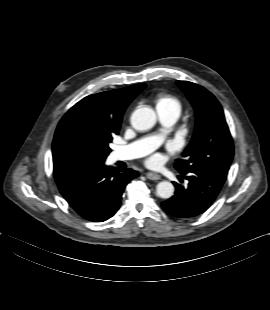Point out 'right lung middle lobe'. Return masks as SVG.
Segmentation results:
<instances>
[{"mask_svg":"<svg viewBox=\"0 0 270 310\" xmlns=\"http://www.w3.org/2000/svg\"><path fill=\"white\" fill-rule=\"evenodd\" d=\"M114 134L95 127L92 121H84L78 128L81 146L80 162L103 163L110 153L109 143Z\"/></svg>","mask_w":270,"mask_h":310,"instance_id":"right-lung-middle-lobe-1","label":"right lung middle lobe"}]
</instances>
